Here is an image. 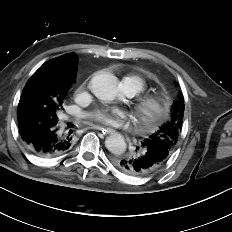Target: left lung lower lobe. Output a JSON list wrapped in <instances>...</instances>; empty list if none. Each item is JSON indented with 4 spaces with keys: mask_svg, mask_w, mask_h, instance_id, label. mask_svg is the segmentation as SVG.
Listing matches in <instances>:
<instances>
[{
    "mask_svg": "<svg viewBox=\"0 0 232 232\" xmlns=\"http://www.w3.org/2000/svg\"><path fill=\"white\" fill-rule=\"evenodd\" d=\"M169 155L163 150L149 145L137 146L136 154L131 158H116L115 166L132 176H145L158 170L167 161Z\"/></svg>",
    "mask_w": 232,
    "mask_h": 232,
    "instance_id": "left-lung-lower-lobe-1",
    "label": "left lung lower lobe"
}]
</instances>
